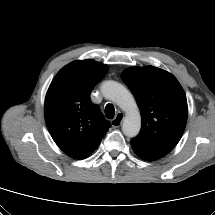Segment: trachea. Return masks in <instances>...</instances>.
I'll return each instance as SVG.
<instances>
[{
    "instance_id": "trachea-1",
    "label": "trachea",
    "mask_w": 215,
    "mask_h": 215,
    "mask_svg": "<svg viewBox=\"0 0 215 215\" xmlns=\"http://www.w3.org/2000/svg\"><path fill=\"white\" fill-rule=\"evenodd\" d=\"M105 115L108 119H113L115 115V109L112 104H107L105 107Z\"/></svg>"
}]
</instances>
